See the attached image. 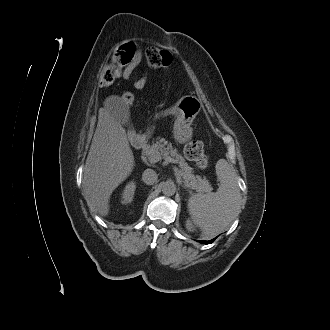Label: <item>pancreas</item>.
<instances>
[{"instance_id":"pancreas-1","label":"pancreas","mask_w":330,"mask_h":330,"mask_svg":"<svg viewBox=\"0 0 330 330\" xmlns=\"http://www.w3.org/2000/svg\"><path fill=\"white\" fill-rule=\"evenodd\" d=\"M152 154L158 156L160 159H173L178 163L180 167L179 174L187 188L196 190L197 192H210L213 189L205 177L193 174V169L185 162V159L164 138H157L155 143L153 142L151 145L148 144L144 147L143 155L150 159Z\"/></svg>"}]
</instances>
